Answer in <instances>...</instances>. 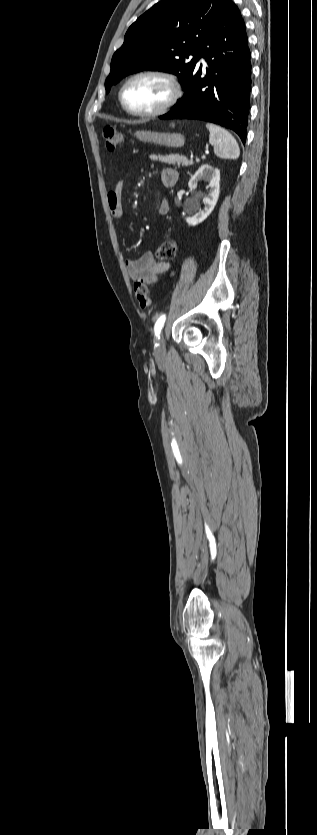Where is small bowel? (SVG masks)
I'll list each match as a JSON object with an SVG mask.
<instances>
[{
	"label": "small bowel",
	"instance_id": "small-bowel-1",
	"mask_svg": "<svg viewBox=\"0 0 317 835\" xmlns=\"http://www.w3.org/2000/svg\"><path fill=\"white\" fill-rule=\"evenodd\" d=\"M159 175L161 183L165 187L174 186L179 179L178 171L171 166L162 168ZM122 191L123 184L121 181H118L114 188L107 194V203L110 213L116 219H121L123 216ZM168 209V200L167 198H163L160 202L158 212L160 214H165ZM125 266L129 276L134 280V282L139 281L145 285L154 284L160 274L167 272L171 268V264L169 262H158L151 252H146L136 259L126 260Z\"/></svg>",
	"mask_w": 317,
	"mask_h": 835
}]
</instances>
